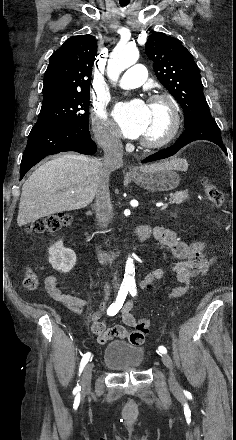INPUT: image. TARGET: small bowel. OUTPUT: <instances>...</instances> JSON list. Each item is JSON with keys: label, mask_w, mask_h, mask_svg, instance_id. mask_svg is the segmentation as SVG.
Segmentation results:
<instances>
[{"label": "small bowel", "mask_w": 236, "mask_h": 440, "mask_svg": "<svg viewBox=\"0 0 236 440\" xmlns=\"http://www.w3.org/2000/svg\"><path fill=\"white\" fill-rule=\"evenodd\" d=\"M153 237L169 248L175 258L169 270L180 282V286L174 288L168 295L169 298L175 299L185 295L189 289L192 280L200 279L208 273L214 259L209 260L204 253V246L200 242H193L187 244L180 240L176 233L162 227L153 229ZM162 276L161 270H154L146 275L140 283L141 288H146L153 281L160 279ZM45 288L50 297L56 302L66 306L69 310L76 314H81L84 307L87 305V300L80 297H75L70 294L63 293L57 287V278L55 276H48L45 279ZM111 287L109 284L104 286L103 300L95 312L94 321H87L85 327L87 330H93L97 334V339L100 344H104L114 337H122L123 339H140L143 336L142 331L134 330L137 325L136 318L132 313L133 302L128 300L121 309V317L124 324H113V327L106 328L103 322L97 320L102 314L106 305L109 302ZM143 340L134 342L141 344Z\"/></svg>", "instance_id": "small-bowel-1"}]
</instances>
